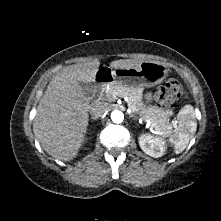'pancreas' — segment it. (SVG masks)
<instances>
[{
    "label": "pancreas",
    "mask_w": 221,
    "mask_h": 221,
    "mask_svg": "<svg viewBox=\"0 0 221 221\" xmlns=\"http://www.w3.org/2000/svg\"><path fill=\"white\" fill-rule=\"evenodd\" d=\"M141 88H127L116 82L109 85L105 90V97L107 101H113L114 97H127L128 107L134 112L139 114L140 117L151 122V126L158 132L169 134L171 125L167 119L168 113L155 107H146L142 101Z\"/></svg>",
    "instance_id": "obj_1"
}]
</instances>
